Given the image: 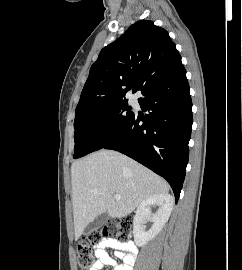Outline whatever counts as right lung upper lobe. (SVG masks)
Segmentation results:
<instances>
[{
  "label": "right lung upper lobe",
  "mask_w": 242,
  "mask_h": 270,
  "mask_svg": "<svg viewBox=\"0 0 242 270\" xmlns=\"http://www.w3.org/2000/svg\"><path fill=\"white\" fill-rule=\"evenodd\" d=\"M181 63L168 32L152 21L131 25L117 40L104 47L91 66L76 112L103 103L126 100Z\"/></svg>",
  "instance_id": "1"
}]
</instances>
